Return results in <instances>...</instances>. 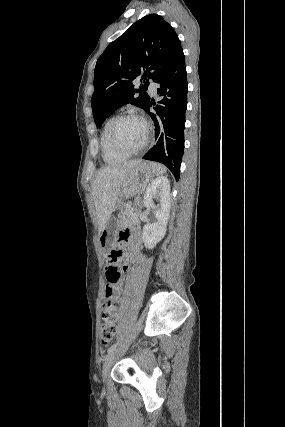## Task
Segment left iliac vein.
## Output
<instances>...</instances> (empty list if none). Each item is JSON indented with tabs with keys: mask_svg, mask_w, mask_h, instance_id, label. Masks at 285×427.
Returning a JSON list of instances; mask_svg holds the SVG:
<instances>
[{
	"mask_svg": "<svg viewBox=\"0 0 285 427\" xmlns=\"http://www.w3.org/2000/svg\"><path fill=\"white\" fill-rule=\"evenodd\" d=\"M119 351H120V349L116 348L113 352H111L108 355V357H107V359H106V361H105V363L103 365V371H102V376H103V380L104 381H106L107 376L109 374V371H110V369L112 367V364L115 361V359H116L117 354L119 353Z\"/></svg>",
	"mask_w": 285,
	"mask_h": 427,
	"instance_id": "left-iliac-vein-1",
	"label": "left iliac vein"
}]
</instances>
